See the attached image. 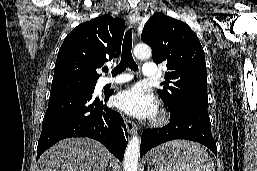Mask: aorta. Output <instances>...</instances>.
Returning <instances> with one entry per match:
<instances>
[{"mask_svg": "<svg viewBox=\"0 0 257 171\" xmlns=\"http://www.w3.org/2000/svg\"><path fill=\"white\" fill-rule=\"evenodd\" d=\"M134 55L139 59H148L152 55L151 48L146 44H138L134 47ZM140 153V138L136 135L129 141L125 157L124 171H137Z\"/></svg>", "mask_w": 257, "mask_h": 171, "instance_id": "obj_1", "label": "aorta"}]
</instances>
